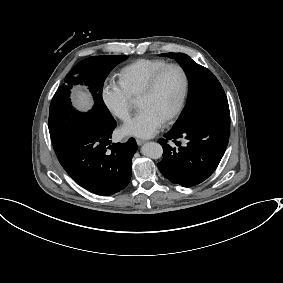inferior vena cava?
I'll list each match as a JSON object with an SVG mask.
<instances>
[{
	"instance_id": "inferior-vena-cava-1",
	"label": "inferior vena cava",
	"mask_w": 283,
	"mask_h": 283,
	"mask_svg": "<svg viewBox=\"0 0 283 283\" xmlns=\"http://www.w3.org/2000/svg\"><path fill=\"white\" fill-rule=\"evenodd\" d=\"M122 114H123V115H125V112H124V111H123V112H121V115H122Z\"/></svg>"
}]
</instances>
